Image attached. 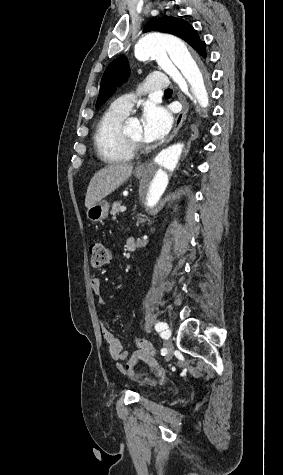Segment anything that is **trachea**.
Listing matches in <instances>:
<instances>
[{
    "mask_svg": "<svg viewBox=\"0 0 283 475\" xmlns=\"http://www.w3.org/2000/svg\"><path fill=\"white\" fill-rule=\"evenodd\" d=\"M172 92H173V91L171 90V88H167V89L164 91V94H170V95H172Z\"/></svg>",
    "mask_w": 283,
    "mask_h": 475,
    "instance_id": "3493384b",
    "label": "trachea"
}]
</instances>
